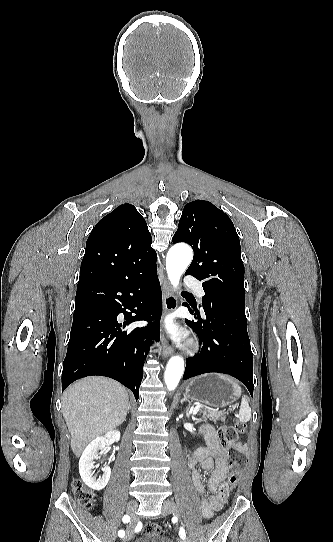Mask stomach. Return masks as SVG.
Instances as JSON below:
<instances>
[{
  "label": "stomach",
  "mask_w": 333,
  "mask_h": 542,
  "mask_svg": "<svg viewBox=\"0 0 333 542\" xmlns=\"http://www.w3.org/2000/svg\"><path fill=\"white\" fill-rule=\"evenodd\" d=\"M234 384V380L231 378L222 380L219 374H203V376L188 380L185 394L190 400L207 404L212 408H226L239 398L235 392Z\"/></svg>",
  "instance_id": "0dacf381"
}]
</instances>
